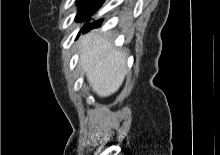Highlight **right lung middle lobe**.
Here are the masks:
<instances>
[{"instance_id": "right-lung-middle-lobe-1", "label": "right lung middle lobe", "mask_w": 220, "mask_h": 155, "mask_svg": "<svg viewBox=\"0 0 220 155\" xmlns=\"http://www.w3.org/2000/svg\"><path fill=\"white\" fill-rule=\"evenodd\" d=\"M102 3V0H77L79 10L75 20L87 21L102 6Z\"/></svg>"}]
</instances>
